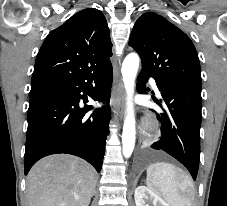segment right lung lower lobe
Segmentation results:
<instances>
[{
    "instance_id": "1",
    "label": "right lung lower lobe",
    "mask_w": 227,
    "mask_h": 206,
    "mask_svg": "<svg viewBox=\"0 0 227 206\" xmlns=\"http://www.w3.org/2000/svg\"><path fill=\"white\" fill-rule=\"evenodd\" d=\"M95 83V88H92ZM112 65L89 75L61 81L53 90L30 95L28 129L24 155L25 174L44 156L67 153L79 156L101 171L109 133V105L96 109L91 115L79 107L89 94L95 101L110 99Z\"/></svg>"
}]
</instances>
